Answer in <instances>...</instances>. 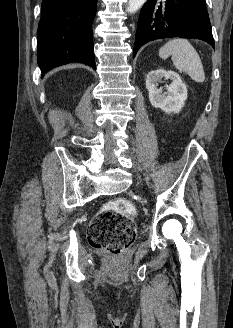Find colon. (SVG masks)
<instances>
[{
  "label": "colon",
  "instance_id": "colon-1",
  "mask_svg": "<svg viewBox=\"0 0 233 328\" xmlns=\"http://www.w3.org/2000/svg\"><path fill=\"white\" fill-rule=\"evenodd\" d=\"M135 214L136 208L126 199L107 203L89 224L90 245L113 256L122 255L135 239Z\"/></svg>",
  "mask_w": 233,
  "mask_h": 328
}]
</instances>
